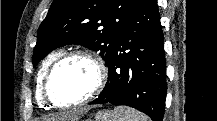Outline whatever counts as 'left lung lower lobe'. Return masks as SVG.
Here are the masks:
<instances>
[{"mask_svg":"<svg viewBox=\"0 0 217 121\" xmlns=\"http://www.w3.org/2000/svg\"><path fill=\"white\" fill-rule=\"evenodd\" d=\"M163 43L157 0H138L107 62L108 81L89 104L127 105L162 121L167 90Z\"/></svg>","mask_w":217,"mask_h":121,"instance_id":"1","label":"left lung lower lobe"}]
</instances>
